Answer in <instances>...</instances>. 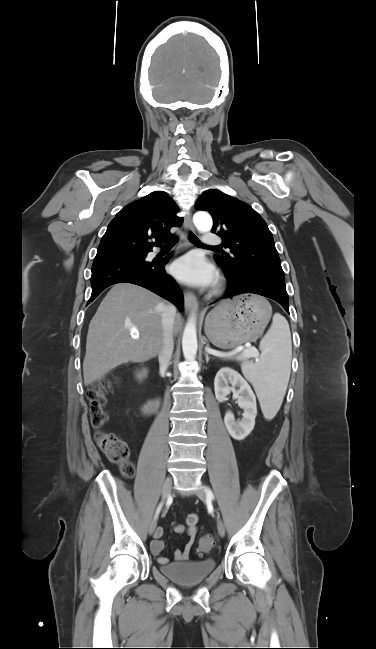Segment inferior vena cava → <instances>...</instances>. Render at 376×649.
I'll return each mask as SVG.
<instances>
[{
	"mask_svg": "<svg viewBox=\"0 0 376 649\" xmlns=\"http://www.w3.org/2000/svg\"><path fill=\"white\" fill-rule=\"evenodd\" d=\"M176 316V308L174 305H165L161 314L163 340L162 346L158 353L159 365L162 371H166L174 350L173 341V326Z\"/></svg>",
	"mask_w": 376,
	"mask_h": 649,
	"instance_id": "obj_1",
	"label": "inferior vena cava"
}]
</instances>
